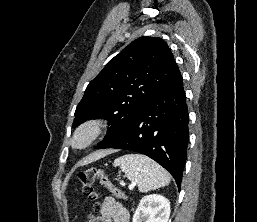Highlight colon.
<instances>
[{
    "mask_svg": "<svg viewBox=\"0 0 257 222\" xmlns=\"http://www.w3.org/2000/svg\"><path fill=\"white\" fill-rule=\"evenodd\" d=\"M77 178L82 185L83 194L94 203L95 210L100 208L99 194L95 188V183L99 181L101 185L107 188L113 195L118 198H125L124 193L109 179V177L97 168H88L80 171Z\"/></svg>",
    "mask_w": 257,
    "mask_h": 222,
    "instance_id": "obj_1",
    "label": "colon"
}]
</instances>
